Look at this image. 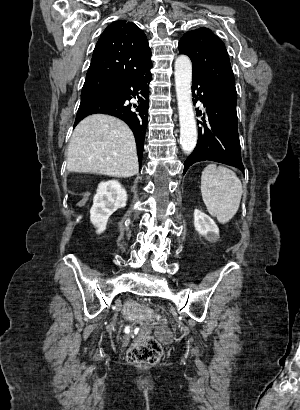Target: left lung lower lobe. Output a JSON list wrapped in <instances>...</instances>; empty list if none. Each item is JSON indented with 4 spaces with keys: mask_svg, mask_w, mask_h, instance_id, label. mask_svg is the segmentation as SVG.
<instances>
[{
    "mask_svg": "<svg viewBox=\"0 0 300 410\" xmlns=\"http://www.w3.org/2000/svg\"><path fill=\"white\" fill-rule=\"evenodd\" d=\"M195 91L196 100L203 102L206 112L197 113L203 115L204 124L198 129L197 145L184 163L183 174L192 164L206 160L231 165L244 172L237 127V100L218 86L193 75V96Z\"/></svg>",
    "mask_w": 300,
    "mask_h": 410,
    "instance_id": "0a47b994",
    "label": "left lung lower lobe"
}]
</instances>
